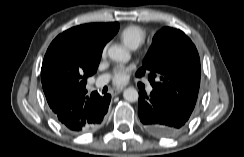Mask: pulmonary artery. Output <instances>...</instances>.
<instances>
[{"label":"pulmonary artery","mask_w":244,"mask_h":157,"mask_svg":"<svg viewBox=\"0 0 244 157\" xmlns=\"http://www.w3.org/2000/svg\"><path fill=\"white\" fill-rule=\"evenodd\" d=\"M108 81V77L106 75L101 76L95 83V87H102L106 84V82ZM148 91L152 90L151 86H148Z\"/></svg>","instance_id":"obj_1"}]
</instances>
